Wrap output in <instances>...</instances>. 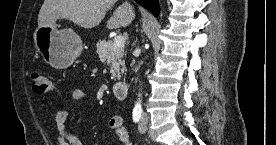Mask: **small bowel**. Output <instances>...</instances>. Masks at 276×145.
<instances>
[{
    "instance_id": "obj_1",
    "label": "small bowel",
    "mask_w": 276,
    "mask_h": 145,
    "mask_svg": "<svg viewBox=\"0 0 276 145\" xmlns=\"http://www.w3.org/2000/svg\"><path fill=\"white\" fill-rule=\"evenodd\" d=\"M73 99L78 103H83L88 99V94L82 89H76L73 91ZM67 117L66 105L58 104L55 108L56 139L58 144L84 145L81 139L70 131ZM109 126L114 131L121 145H132L121 116L116 115L111 117Z\"/></svg>"
}]
</instances>
